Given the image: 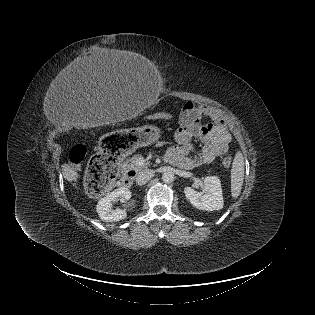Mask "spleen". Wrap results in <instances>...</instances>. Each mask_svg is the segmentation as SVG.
<instances>
[{
	"label": "spleen",
	"mask_w": 315,
	"mask_h": 315,
	"mask_svg": "<svg viewBox=\"0 0 315 315\" xmlns=\"http://www.w3.org/2000/svg\"><path fill=\"white\" fill-rule=\"evenodd\" d=\"M244 181V157L237 152L231 169V195L236 199L241 192Z\"/></svg>",
	"instance_id": "spleen-1"
}]
</instances>
